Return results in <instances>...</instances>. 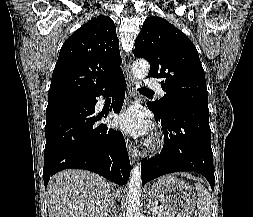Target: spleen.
Here are the masks:
<instances>
[{"label": "spleen", "instance_id": "spleen-1", "mask_svg": "<svg viewBox=\"0 0 253 217\" xmlns=\"http://www.w3.org/2000/svg\"><path fill=\"white\" fill-rule=\"evenodd\" d=\"M195 186L196 191L198 192L197 206L199 217H211L212 202L209 192L200 182H197Z\"/></svg>", "mask_w": 253, "mask_h": 217}]
</instances>
